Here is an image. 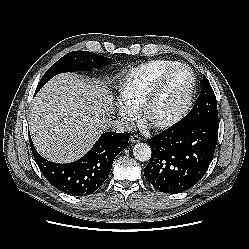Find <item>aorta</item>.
Listing matches in <instances>:
<instances>
[{"instance_id": "762f6f07", "label": "aorta", "mask_w": 249, "mask_h": 249, "mask_svg": "<svg viewBox=\"0 0 249 249\" xmlns=\"http://www.w3.org/2000/svg\"><path fill=\"white\" fill-rule=\"evenodd\" d=\"M151 148L146 143H137L133 148L134 157L141 162H146L151 158Z\"/></svg>"}]
</instances>
